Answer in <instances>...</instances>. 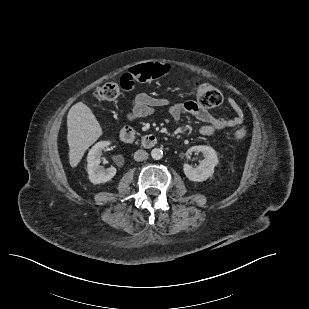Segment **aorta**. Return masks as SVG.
<instances>
[{"label":"aorta","mask_w":309,"mask_h":309,"mask_svg":"<svg viewBox=\"0 0 309 309\" xmlns=\"http://www.w3.org/2000/svg\"><path fill=\"white\" fill-rule=\"evenodd\" d=\"M151 157L154 160H160L163 157V151L160 148H154L151 151Z\"/></svg>","instance_id":"obj_1"}]
</instances>
